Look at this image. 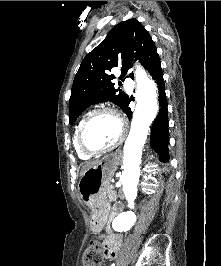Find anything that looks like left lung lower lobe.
I'll return each instance as SVG.
<instances>
[{
  "label": "left lung lower lobe",
  "mask_w": 221,
  "mask_h": 266,
  "mask_svg": "<svg viewBox=\"0 0 221 266\" xmlns=\"http://www.w3.org/2000/svg\"><path fill=\"white\" fill-rule=\"evenodd\" d=\"M152 79L158 85V101H159V113L153 122L151 128V139L150 145L155 149L156 152L160 153V161L168 162V109L165 94V84L163 79V73L160 61L149 71ZM130 99L128 100L125 109L123 110L129 119L132 117V111L129 108Z\"/></svg>",
  "instance_id": "0a47b994"
}]
</instances>
